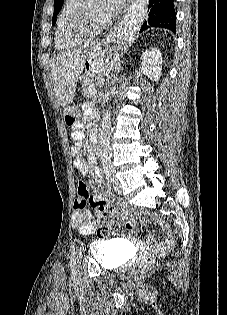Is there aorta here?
Returning <instances> with one entry per match:
<instances>
[{"instance_id":"762f6f07","label":"aorta","mask_w":227,"mask_h":315,"mask_svg":"<svg viewBox=\"0 0 227 315\" xmlns=\"http://www.w3.org/2000/svg\"><path fill=\"white\" fill-rule=\"evenodd\" d=\"M135 28L130 22H123L114 34L113 41L118 45L124 44L134 33ZM111 112L108 110L102 118L99 130V152L102 161H111Z\"/></svg>"}]
</instances>
